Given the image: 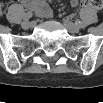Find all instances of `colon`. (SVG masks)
<instances>
[{"mask_svg":"<svg viewBox=\"0 0 103 103\" xmlns=\"http://www.w3.org/2000/svg\"><path fill=\"white\" fill-rule=\"evenodd\" d=\"M82 4L84 6H88L94 9H101L102 8V1L101 0H87V1H83Z\"/></svg>","mask_w":103,"mask_h":103,"instance_id":"5ec220e1","label":"colon"}]
</instances>
